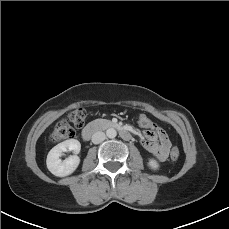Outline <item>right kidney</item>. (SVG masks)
Instances as JSON below:
<instances>
[{"label":"right kidney","mask_w":229,"mask_h":229,"mask_svg":"<svg viewBox=\"0 0 229 229\" xmlns=\"http://www.w3.org/2000/svg\"><path fill=\"white\" fill-rule=\"evenodd\" d=\"M81 144L76 139H69L54 146L48 153L46 164L48 170L55 176L65 177L72 174L80 163L77 154L80 152ZM73 151L74 155L61 160L62 152Z\"/></svg>","instance_id":"ca27d5eb"}]
</instances>
